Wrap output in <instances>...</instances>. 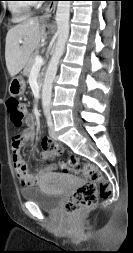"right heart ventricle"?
<instances>
[{
  "mask_svg": "<svg viewBox=\"0 0 133 253\" xmlns=\"http://www.w3.org/2000/svg\"><path fill=\"white\" fill-rule=\"evenodd\" d=\"M9 10L13 16V20L20 22L30 15V3L24 0H14L9 3Z\"/></svg>",
  "mask_w": 133,
  "mask_h": 253,
  "instance_id": "1",
  "label": "right heart ventricle"
}]
</instances>
